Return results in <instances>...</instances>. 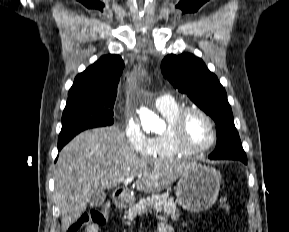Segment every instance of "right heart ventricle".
<instances>
[{
  "label": "right heart ventricle",
  "instance_id": "obj_1",
  "mask_svg": "<svg viewBox=\"0 0 289 232\" xmlns=\"http://www.w3.org/2000/svg\"><path fill=\"white\" fill-rule=\"evenodd\" d=\"M181 108V105L174 100L162 108H157L167 121V128L162 133L156 134L151 138V156L157 158H175L192 154L177 144L171 131V124Z\"/></svg>",
  "mask_w": 289,
  "mask_h": 232
}]
</instances>
